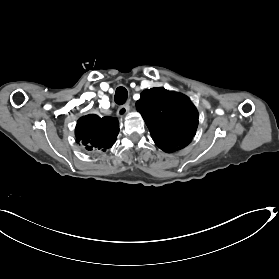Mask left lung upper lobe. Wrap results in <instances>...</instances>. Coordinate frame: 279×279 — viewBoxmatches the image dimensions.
I'll use <instances>...</instances> for the list:
<instances>
[{"label":"left lung upper lobe","instance_id":"5c2ea615","mask_svg":"<svg viewBox=\"0 0 279 279\" xmlns=\"http://www.w3.org/2000/svg\"><path fill=\"white\" fill-rule=\"evenodd\" d=\"M155 144L167 153L187 146L196 133L198 112L180 93L152 88L141 93L136 102Z\"/></svg>","mask_w":279,"mask_h":279}]
</instances>
